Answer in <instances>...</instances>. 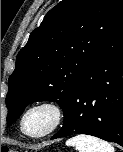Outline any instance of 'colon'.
Listing matches in <instances>:
<instances>
[{
  "mask_svg": "<svg viewBox=\"0 0 123 152\" xmlns=\"http://www.w3.org/2000/svg\"><path fill=\"white\" fill-rule=\"evenodd\" d=\"M1 152H17V151H14V150H12V149H10L8 147H2L1 148Z\"/></svg>",
  "mask_w": 123,
  "mask_h": 152,
  "instance_id": "colon-1",
  "label": "colon"
}]
</instances>
